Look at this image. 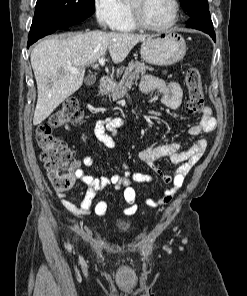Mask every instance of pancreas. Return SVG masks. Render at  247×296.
I'll return each instance as SVG.
<instances>
[{
  "label": "pancreas",
  "mask_w": 247,
  "mask_h": 296,
  "mask_svg": "<svg viewBox=\"0 0 247 296\" xmlns=\"http://www.w3.org/2000/svg\"><path fill=\"white\" fill-rule=\"evenodd\" d=\"M146 70L153 71V68L137 61L130 62L128 67L125 69L122 79L114 86L112 91L113 100L122 98L127 90L134 84V81L138 80L140 75H144L146 73Z\"/></svg>",
  "instance_id": "pancreas-1"
}]
</instances>
